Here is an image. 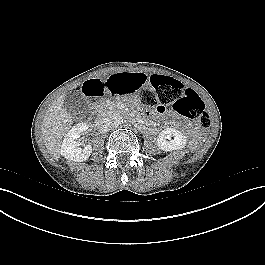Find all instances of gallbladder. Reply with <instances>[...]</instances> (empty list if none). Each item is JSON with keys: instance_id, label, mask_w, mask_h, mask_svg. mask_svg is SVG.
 <instances>
[{"instance_id": "gallbladder-1", "label": "gallbladder", "mask_w": 265, "mask_h": 265, "mask_svg": "<svg viewBox=\"0 0 265 265\" xmlns=\"http://www.w3.org/2000/svg\"><path fill=\"white\" fill-rule=\"evenodd\" d=\"M64 108L73 117H83L87 113L86 100L79 92H69L64 97Z\"/></svg>"}]
</instances>
